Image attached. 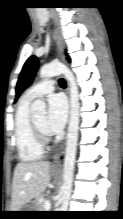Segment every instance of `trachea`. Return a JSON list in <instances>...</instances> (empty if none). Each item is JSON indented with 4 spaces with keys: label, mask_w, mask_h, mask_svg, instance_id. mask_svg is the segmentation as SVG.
<instances>
[{
    "label": "trachea",
    "mask_w": 123,
    "mask_h": 219,
    "mask_svg": "<svg viewBox=\"0 0 123 219\" xmlns=\"http://www.w3.org/2000/svg\"><path fill=\"white\" fill-rule=\"evenodd\" d=\"M59 85L61 86V87H63V88H65L66 87V82H65V80L64 79H59Z\"/></svg>",
    "instance_id": "obj_1"
}]
</instances>
